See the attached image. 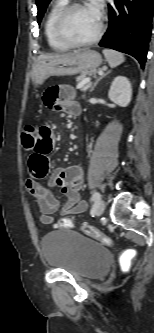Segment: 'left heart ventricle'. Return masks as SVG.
<instances>
[{"instance_id":"obj_1","label":"left heart ventricle","mask_w":154,"mask_h":333,"mask_svg":"<svg viewBox=\"0 0 154 333\" xmlns=\"http://www.w3.org/2000/svg\"><path fill=\"white\" fill-rule=\"evenodd\" d=\"M99 15L89 6L74 9L66 22L67 33L75 40H88L98 29Z\"/></svg>"}]
</instances>
